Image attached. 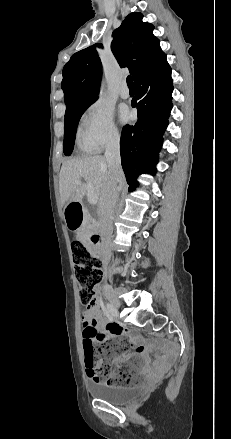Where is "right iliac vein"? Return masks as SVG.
Masks as SVG:
<instances>
[{
	"mask_svg": "<svg viewBox=\"0 0 231 439\" xmlns=\"http://www.w3.org/2000/svg\"><path fill=\"white\" fill-rule=\"evenodd\" d=\"M107 298L110 302V305L113 307L114 312L112 313V316L118 317V308L120 307V301L117 298L115 292L113 290L109 291L107 294Z\"/></svg>",
	"mask_w": 231,
	"mask_h": 439,
	"instance_id": "63e3f726",
	"label": "right iliac vein"
}]
</instances>
